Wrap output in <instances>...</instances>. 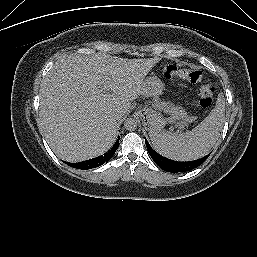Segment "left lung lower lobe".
Instances as JSON below:
<instances>
[{"label": "left lung lower lobe", "mask_w": 257, "mask_h": 257, "mask_svg": "<svg viewBox=\"0 0 257 257\" xmlns=\"http://www.w3.org/2000/svg\"><path fill=\"white\" fill-rule=\"evenodd\" d=\"M147 150L154 160V162L164 171L171 172V173H177V172H186L190 171L198 166H200L208 157L210 154L206 155L205 157L190 161V162H178V161H172L168 158L163 157L162 155L155 152L152 147L149 145L148 141L145 139Z\"/></svg>", "instance_id": "left-lung-lower-lobe-1"}]
</instances>
